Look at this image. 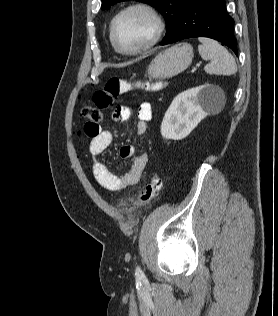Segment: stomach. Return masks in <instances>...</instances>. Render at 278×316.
Here are the masks:
<instances>
[{"instance_id": "obj_1", "label": "stomach", "mask_w": 278, "mask_h": 316, "mask_svg": "<svg viewBox=\"0 0 278 316\" xmlns=\"http://www.w3.org/2000/svg\"><path fill=\"white\" fill-rule=\"evenodd\" d=\"M193 48L190 44L175 45L160 52L148 67V76L154 79H166L183 72L191 64Z\"/></svg>"}]
</instances>
